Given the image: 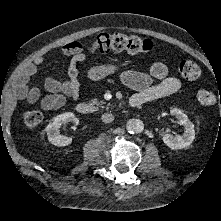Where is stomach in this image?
I'll return each mask as SVG.
<instances>
[{
  "mask_svg": "<svg viewBox=\"0 0 221 221\" xmlns=\"http://www.w3.org/2000/svg\"><path fill=\"white\" fill-rule=\"evenodd\" d=\"M118 69L116 65L113 64H102L90 68L87 72V77L92 81H100L105 77L115 73Z\"/></svg>",
  "mask_w": 221,
  "mask_h": 221,
  "instance_id": "stomach-1",
  "label": "stomach"
}]
</instances>
